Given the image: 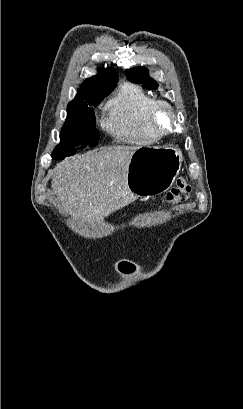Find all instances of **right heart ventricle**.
Wrapping results in <instances>:
<instances>
[{
  "label": "right heart ventricle",
  "mask_w": 243,
  "mask_h": 409,
  "mask_svg": "<svg viewBox=\"0 0 243 409\" xmlns=\"http://www.w3.org/2000/svg\"><path fill=\"white\" fill-rule=\"evenodd\" d=\"M155 99L141 87L124 83L107 102L104 128L116 139L150 145L158 140L148 123V111Z\"/></svg>",
  "instance_id": "e07e8e85"
}]
</instances>
